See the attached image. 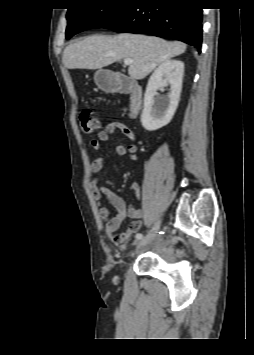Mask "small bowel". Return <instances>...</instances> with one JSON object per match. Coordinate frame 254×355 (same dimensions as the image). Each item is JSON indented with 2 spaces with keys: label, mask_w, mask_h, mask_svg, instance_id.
Instances as JSON below:
<instances>
[{
  "label": "small bowel",
  "mask_w": 254,
  "mask_h": 355,
  "mask_svg": "<svg viewBox=\"0 0 254 355\" xmlns=\"http://www.w3.org/2000/svg\"><path fill=\"white\" fill-rule=\"evenodd\" d=\"M120 131L130 141L128 145H117L115 154L118 156H126L131 161L137 159V146L134 144L135 134L130 127L120 121L109 122L104 129L99 131L96 138L92 139L90 145L93 150L101 149V143L109 140L110 136ZM104 166V159L99 157L91 164V171L94 174L99 173ZM131 195L139 200L141 197L140 186L137 183H132L130 186ZM91 193L94 201L99 205V216L105 224V233L114 244H122L129 240L133 234L138 232L142 226L141 218L143 212L132 204H127L125 200L105 187L99 177H94L91 182ZM105 196L108 202L117 211L116 216L111 217L107 207L101 206V199ZM132 219L128 229L125 232L117 233L121 224L127 219Z\"/></svg>",
  "instance_id": "small-bowel-1"
}]
</instances>
